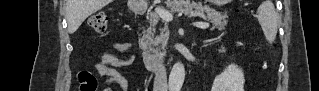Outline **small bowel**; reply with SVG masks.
<instances>
[{"label":"small bowel","instance_id":"c3829d8e","mask_svg":"<svg viewBox=\"0 0 319 91\" xmlns=\"http://www.w3.org/2000/svg\"><path fill=\"white\" fill-rule=\"evenodd\" d=\"M113 48L120 53L125 54L123 58L104 53L99 57V61L95 64V70L105 76L113 79L123 90H128V80L122 75L118 69L127 68L131 65V51L129 46L124 42H114ZM219 50L223 52L224 47L220 46Z\"/></svg>","mask_w":319,"mask_h":91}]
</instances>
